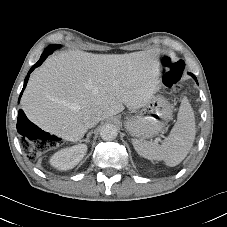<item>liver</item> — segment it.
Masks as SVG:
<instances>
[{
    "mask_svg": "<svg viewBox=\"0 0 227 227\" xmlns=\"http://www.w3.org/2000/svg\"><path fill=\"white\" fill-rule=\"evenodd\" d=\"M159 50L130 54L83 51L49 57L31 76L21 99L28 119L42 130L77 142L86 116L105 120L144 107L161 88Z\"/></svg>",
    "mask_w": 227,
    "mask_h": 227,
    "instance_id": "obj_1",
    "label": "liver"
}]
</instances>
